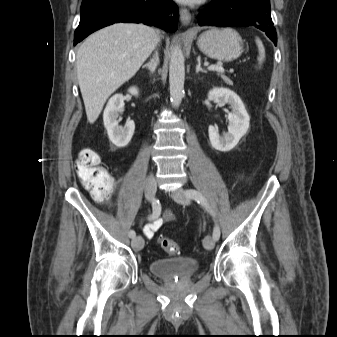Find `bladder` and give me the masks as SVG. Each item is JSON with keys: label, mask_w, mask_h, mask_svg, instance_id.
Here are the masks:
<instances>
[{"label": "bladder", "mask_w": 337, "mask_h": 337, "mask_svg": "<svg viewBox=\"0 0 337 337\" xmlns=\"http://www.w3.org/2000/svg\"><path fill=\"white\" fill-rule=\"evenodd\" d=\"M200 268L198 262L183 258H161L153 260L150 264V270L154 275L163 278H169L176 275L183 277L193 276Z\"/></svg>", "instance_id": "obj_1"}]
</instances>
